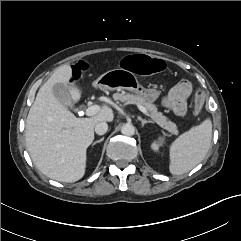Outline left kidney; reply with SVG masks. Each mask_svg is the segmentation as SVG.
Returning <instances> with one entry per match:
<instances>
[{"label":"left kidney","mask_w":241,"mask_h":241,"mask_svg":"<svg viewBox=\"0 0 241 241\" xmlns=\"http://www.w3.org/2000/svg\"><path fill=\"white\" fill-rule=\"evenodd\" d=\"M164 143L163 138H159L156 142L152 143L151 147L154 151H158L159 147L162 146Z\"/></svg>","instance_id":"left-kidney-1"}]
</instances>
